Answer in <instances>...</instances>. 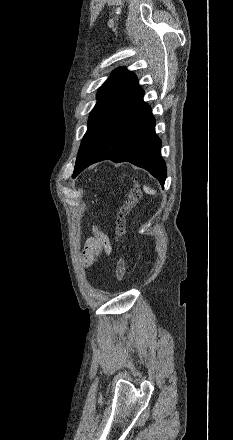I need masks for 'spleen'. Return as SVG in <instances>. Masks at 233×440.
Instances as JSON below:
<instances>
[{"label": "spleen", "instance_id": "spleen-1", "mask_svg": "<svg viewBox=\"0 0 233 440\" xmlns=\"http://www.w3.org/2000/svg\"><path fill=\"white\" fill-rule=\"evenodd\" d=\"M143 190H144L145 193H147V194H151V195H155V194H156V191L153 190V189H151V188L148 187V186H144V187H143Z\"/></svg>", "mask_w": 233, "mask_h": 440}]
</instances>
